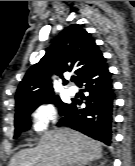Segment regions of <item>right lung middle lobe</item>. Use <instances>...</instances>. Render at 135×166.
<instances>
[{"mask_svg": "<svg viewBox=\"0 0 135 166\" xmlns=\"http://www.w3.org/2000/svg\"><path fill=\"white\" fill-rule=\"evenodd\" d=\"M43 103H53L56 104L57 107H59V112L62 115L67 108L70 106V104L63 103L58 96H52L48 99H45L41 102H37L34 104H30L24 107H21L16 110L15 114V134L14 138H17L20 132H23L27 130L30 126L29 117L30 114L41 104Z\"/></svg>", "mask_w": 135, "mask_h": 166, "instance_id": "1", "label": "right lung middle lobe"}]
</instances>
